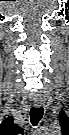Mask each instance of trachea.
I'll return each instance as SVG.
<instances>
[{
    "instance_id": "obj_1",
    "label": "trachea",
    "mask_w": 69,
    "mask_h": 135,
    "mask_svg": "<svg viewBox=\"0 0 69 135\" xmlns=\"http://www.w3.org/2000/svg\"><path fill=\"white\" fill-rule=\"evenodd\" d=\"M44 108L43 107H33L30 110V121L33 125H37L41 118L43 117Z\"/></svg>"
}]
</instances>
